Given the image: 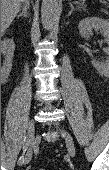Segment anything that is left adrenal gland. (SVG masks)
Segmentation results:
<instances>
[{
    "label": "left adrenal gland",
    "instance_id": "obj_1",
    "mask_svg": "<svg viewBox=\"0 0 109 170\" xmlns=\"http://www.w3.org/2000/svg\"><path fill=\"white\" fill-rule=\"evenodd\" d=\"M69 5H70L71 10L68 13V16H70L75 9L79 10V8H75L74 5L71 2H69Z\"/></svg>",
    "mask_w": 109,
    "mask_h": 170
}]
</instances>
